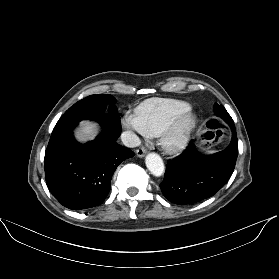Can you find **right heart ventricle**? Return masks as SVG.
I'll return each mask as SVG.
<instances>
[{"instance_id":"e07e8e85","label":"right heart ventricle","mask_w":279,"mask_h":279,"mask_svg":"<svg viewBox=\"0 0 279 279\" xmlns=\"http://www.w3.org/2000/svg\"><path fill=\"white\" fill-rule=\"evenodd\" d=\"M191 106L174 99H154L142 103L136 110L144 133L158 137L161 131Z\"/></svg>"}]
</instances>
